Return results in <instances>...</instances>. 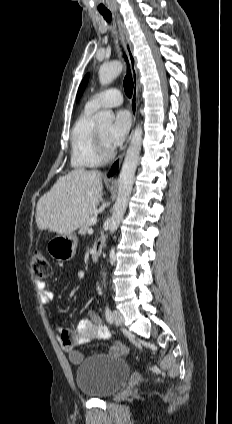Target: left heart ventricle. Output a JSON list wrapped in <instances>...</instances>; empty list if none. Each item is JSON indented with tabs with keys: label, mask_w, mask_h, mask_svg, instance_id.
<instances>
[{
	"label": "left heart ventricle",
	"mask_w": 232,
	"mask_h": 424,
	"mask_svg": "<svg viewBox=\"0 0 232 424\" xmlns=\"http://www.w3.org/2000/svg\"><path fill=\"white\" fill-rule=\"evenodd\" d=\"M98 128H99V131L101 133V136L103 138L105 145L108 148H112L108 143V134H109V131H110V128H111L110 124L102 125V126H99Z\"/></svg>",
	"instance_id": "obj_1"
}]
</instances>
